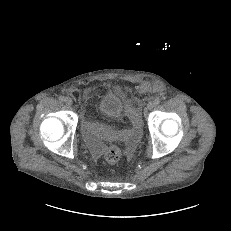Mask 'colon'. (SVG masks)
<instances>
[{"instance_id":"1","label":"colon","mask_w":231,"mask_h":231,"mask_svg":"<svg viewBox=\"0 0 231 231\" xmlns=\"http://www.w3.org/2000/svg\"><path fill=\"white\" fill-rule=\"evenodd\" d=\"M150 88H151L150 84H144L141 86L140 90L143 92H146V91H149ZM153 88L155 90L160 89L159 85L157 84H154ZM126 112L134 124H137L139 122L138 115L135 109L131 105L128 104L126 106ZM104 157H105V160L110 164L117 163L122 157V150L118 145H112L107 149Z\"/></svg>"}]
</instances>
